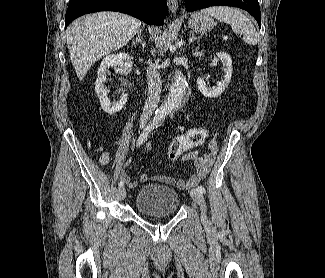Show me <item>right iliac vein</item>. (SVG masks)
Returning a JSON list of instances; mask_svg holds the SVG:
<instances>
[{
  "label": "right iliac vein",
  "instance_id": "right-iliac-vein-1",
  "mask_svg": "<svg viewBox=\"0 0 325 278\" xmlns=\"http://www.w3.org/2000/svg\"><path fill=\"white\" fill-rule=\"evenodd\" d=\"M117 196H118L119 200H123L126 197V190H125V188L120 187L117 190Z\"/></svg>",
  "mask_w": 325,
  "mask_h": 278
}]
</instances>
